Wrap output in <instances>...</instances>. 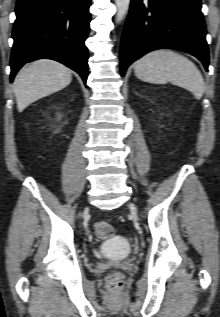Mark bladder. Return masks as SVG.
Instances as JSON below:
<instances>
[{"label":"bladder","mask_w":220,"mask_h":317,"mask_svg":"<svg viewBox=\"0 0 220 317\" xmlns=\"http://www.w3.org/2000/svg\"><path fill=\"white\" fill-rule=\"evenodd\" d=\"M131 248L125 237L114 234L103 240L100 254L110 258H125L130 254Z\"/></svg>","instance_id":"obj_1"}]
</instances>
